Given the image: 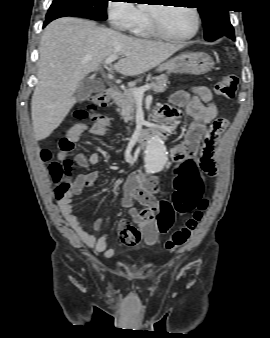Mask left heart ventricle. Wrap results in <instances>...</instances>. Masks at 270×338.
I'll return each instance as SVG.
<instances>
[{
  "mask_svg": "<svg viewBox=\"0 0 270 338\" xmlns=\"http://www.w3.org/2000/svg\"><path fill=\"white\" fill-rule=\"evenodd\" d=\"M155 10L161 27L169 34L185 36L195 28V16L188 7H157Z\"/></svg>",
  "mask_w": 270,
  "mask_h": 338,
  "instance_id": "obj_1",
  "label": "left heart ventricle"
}]
</instances>
